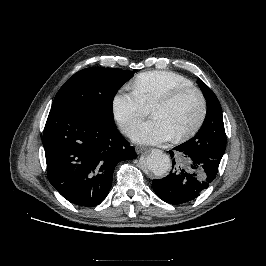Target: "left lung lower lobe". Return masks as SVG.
Masks as SVG:
<instances>
[{
  "instance_id": "obj_1",
  "label": "left lung lower lobe",
  "mask_w": 266,
  "mask_h": 266,
  "mask_svg": "<svg viewBox=\"0 0 266 266\" xmlns=\"http://www.w3.org/2000/svg\"><path fill=\"white\" fill-rule=\"evenodd\" d=\"M181 162H172V170L162 179H154V192L165 202L182 204L197 198L215 179L220 160L189 150L184 144L174 148ZM174 157V152L169 151Z\"/></svg>"
}]
</instances>
